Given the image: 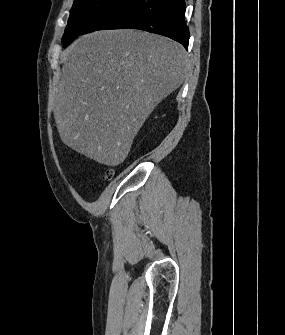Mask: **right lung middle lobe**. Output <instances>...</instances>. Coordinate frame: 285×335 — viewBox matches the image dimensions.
<instances>
[{
	"label": "right lung middle lobe",
	"mask_w": 285,
	"mask_h": 335,
	"mask_svg": "<svg viewBox=\"0 0 285 335\" xmlns=\"http://www.w3.org/2000/svg\"><path fill=\"white\" fill-rule=\"evenodd\" d=\"M117 0H74L62 43L66 47Z\"/></svg>",
	"instance_id": "dd1d6c3e"
}]
</instances>
